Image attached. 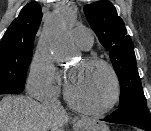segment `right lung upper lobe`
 Masks as SVG:
<instances>
[{
    "label": "right lung upper lobe",
    "instance_id": "right-lung-upper-lobe-1",
    "mask_svg": "<svg viewBox=\"0 0 151 131\" xmlns=\"http://www.w3.org/2000/svg\"><path fill=\"white\" fill-rule=\"evenodd\" d=\"M42 19L41 7L37 2L28 3L19 16L10 24L0 43L34 45L35 35Z\"/></svg>",
    "mask_w": 151,
    "mask_h": 131
}]
</instances>
